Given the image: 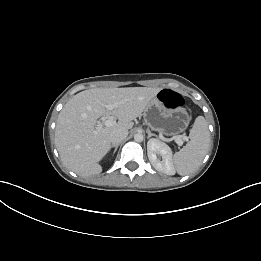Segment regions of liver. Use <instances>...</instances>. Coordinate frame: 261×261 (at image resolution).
Listing matches in <instances>:
<instances>
[{
    "label": "liver",
    "instance_id": "obj_1",
    "mask_svg": "<svg viewBox=\"0 0 261 261\" xmlns=\"http://www.w3.org/2000/svg\"><path fill=\"white\" fill-rule=\"evenodd\" d=\"M160 88L127 87L95 88L73 96L60 111L55 145L63 164L76 174L91 177L102 172L99 161L110 150V134L116 129H131ZM117 104L113 110L107 105ZM115 116L118 122L104 127L97 135L96 122L100 117Z\"/></svg>",
    "mask_w": 261,
    "mask_h": 261
}]
</instances>
